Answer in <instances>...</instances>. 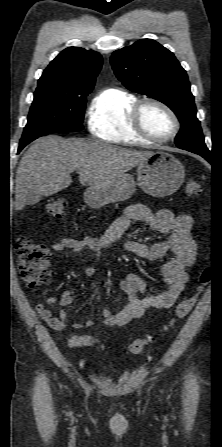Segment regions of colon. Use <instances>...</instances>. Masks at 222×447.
Returning <instances> with one entry per match:
<instances>
[{
    "label": "colon",
    "instance_id": "colon-1",
    "mask_svg": "<svg viewBox=\"0 0 222 447\" xmlns=\"http://www.w3.org/2000/svg\"><path fill=\"white\" fill-rule=\"evenodd\" d=\"M187 196L194 197L201 193V186L194 178L188 179L185 187ZM68 202L64 197H55L45 204V212L56 218L62 219L67 215ZM17 252V265L22 281L30 289L47 282L51 277L50 272V250L43 244H37L27 237H19L15 242ZM212 278V270L209 267L204 268L200 275V292ZM197 302V295L191 296L180 301L173 313L172 318L162 326L161 331H166L178 320L185 318L193 309ZM146 344V338L135 339L129 346V351L134 354H140ZM95 346L102 348L96 341Z\"/></svg>",
    "mask_w": 222,
    "mask_h": 447
}]
</instances>
